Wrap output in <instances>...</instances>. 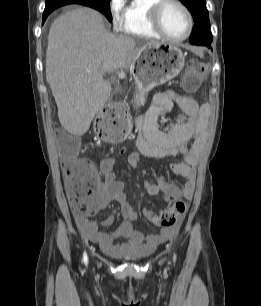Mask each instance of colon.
Returning a JSON list of instances; mask_svg holds the SVG:
<instances>
[{"instance_id": "colon-1", "label": "colon", "mask_w": 261, "mask_h": 306, "mask_svg": "<svg viewBox=\"0 0 261 306\" xmlns=\"http://www.w3.org/2000/svg\"><path fill=\"white\" fill-rule=\"evenodd\" d=\"M205 76V65L197 59H190L187 62L186 73L182 81L184 89L186 91L195 90L204 80ZM122 110L123 107L120 103L106 108V111L112 117H119ZM101 132L114 141H122L129 135L128 126L122 119H118L113 124H103ZM58 144L64 159L72 162L66 173V187L72 207L77 212H85L92 207L95 196L94 184L96 173L94 167L88 162L75 163L79 142L73 136L62 134ZM185 212L186 204L183 201H179L171 210H165L160 213L152 212L148 219L155 225L170 227L175 225L178 217L182 216Z\"/></svg>"}]
</instances>
